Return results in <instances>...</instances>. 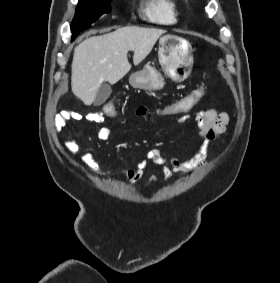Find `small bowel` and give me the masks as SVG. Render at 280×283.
Wrapping results in <instances>:
<instances>
[{
  "mask_svg": "<svg viewBox=\"0 0 280 283\" xmlns=\"http://www.w3.org/2000/svg\"><path fill=\"white\" fill-rule=\"evenodd\" d=\"M156 112L151 113L146 107H140L136 110V116L143 118L144 114H151L152 118L148 119L150 121L154 120L155 117H166L163 115L157 116ZM187 113L188 112H181L180 116L172 117H177L178 121L180 122H186L189 119L185 116ZM82 118L92 122H99L103 119V112L90 111L84 114H79L76 112L69 114V119ZM195 122L198 126L199 136L202 139V143L197 153L193 157L186 160H179L175 157L167 158L163 155L160 149L153 148L146 152L145 157L139 161L135 168L119 172H111L101 169L90 150H84L81 153V159L91 173L108 176L118 175L129 183H135L141 179L150 164H153L161 169L164 180H170L175 173H189L202 167L207 162L210 145L214 140L220 138L225 133L229 123V117L225 112H219L214 108H210L197 112L195 114ZM65 123L66 122L64 119L57 121L59 127H63ZM96 136L102 141L109 140L111 138V129L107 126H101L96 130ZM67 149L72 155H77L80 153V147L75 138H72L68 142ZM156 181L157 178L155 176L151 177L150 182Z\"/></svg>",
  "mask_w": 280,
  "mask_h": 283,
  "instance_id": "small-bowel-1",
  "label": "small bowel"
}]
</instances>
